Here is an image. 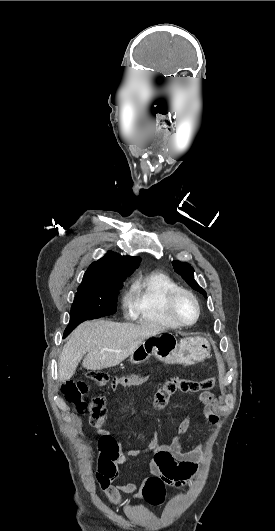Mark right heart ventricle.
<instances>
[{
	"label": "right heart ventricle",
	"instance_id": "obj_1",
	"mask_svg": "<svg viewBox=\"0 0 275 531\" xmlns=\"http://www.w3.org/2000/svg\"><path fill=\"white\" fill-rule=\"evenodd\" d=\"M177 287L168 275L150 273L138 277L133 286V315L141 322L167 329L179 326L170 319L165 309L167 294Z\"/></svg>",
	"mask_w": 275,
	"mask_h": 531
}]
</instances>
